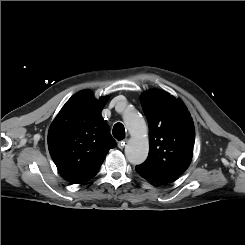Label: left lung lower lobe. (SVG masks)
I'll return each instance as SVG.
<instances>
[{"label": "left lung lower lobe", "mask_w": 245, "mask_h": 245, "mask_svg": "<svg viewBox=\"0 0 245 245\" xmlns=\"http://www.w3.org/2000/svg\"><path fill=\"white\" fill-rule=\"evenodd\" d=\"M136 169V172L141 176L143 177L144 179L148 180L149 182H152L154 184H158V185H166L170 182H172V180H168V179H164V178H161V177H158V176H154V175H151V174H147L141 170H139L138 168H135Z\"/></svg>", "instance_id": "obj_1"}]
</instances>
